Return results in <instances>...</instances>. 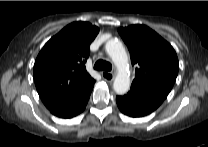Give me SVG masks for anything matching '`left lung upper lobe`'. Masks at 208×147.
I'll return each instance as SVG.
<instances>
[{
    "label": "left lung upper lobe",
    "mask_w": 208,
    "mask_h": 147,
    "mask_svg": "<svg viewBox=\"0 0 208 147\" xmlns=\"http://www.w3.org/2000/svg\"><path fill=\"white\" fill-rule=\"evenodd\" d=\"M118 32L131 53L132 65H136L131 86L166 98L179 70L173 47L145 25L119 28Z\"/></svg>",
    "instance_id": "left-lung-upper-lobe-1"
}]
</instances>
